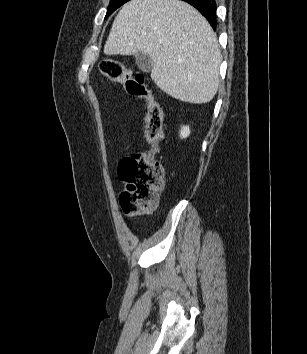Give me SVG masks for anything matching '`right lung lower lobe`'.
<instances>
[{
    "label": "right lung lower lobe",
    "instance_id": "right-lung-lower-lobe-1",
    "mask_svg": "<svg viewBox=\"0 0 307 354\" xmlns=\"http://www.w3.org/2000/svg\"><path fill=\"white\" fill-rule=\"evenodd\" d=\"M196 9L209 21L210 25L216 28V2L215 0H183Z\"/></svg>",
    "mask_w": 307,
    "mask_h": 354
}]
</instances>
